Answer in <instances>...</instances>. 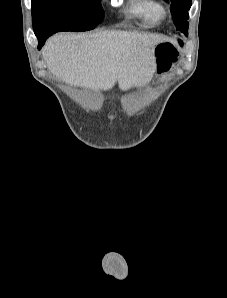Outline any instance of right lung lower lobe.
<instances>
[{
    "instance_id": "98d812e1",
    "label": "right lung lower lobe",
    "mask_w": 227,
    "mask_h": 298,
    "mask_svg": "<svg viewBox=\"0 0 227 298\" xmlns=\"http://www.w3.org/2000/svg\"><path fill=\"white\" fill-rule=\"evenodd\" d=\"M58 32L57 30H52L50 32L47 33H42V34H36L37 38H38V49H41V47L44 45L45 40L52 34Z\"/></svg>"
}]
</instances>
